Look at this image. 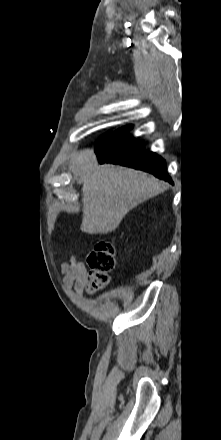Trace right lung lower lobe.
Masks as SVG:
<instances>
[{"instance_id":"right-lung-lower-lobe-1","label":"right lung lower lobe","mask_w":221,"mask_h":440,"mask_svg":"<svg viewBox=\"0 0 221 440\" xmlns=\"http://www.w3.org/2000/svg\"><path fill=\"white\" fill-rule=\"evenodd\" d=\"M131 128V125L120 128L95 145L99 163L119 164L143 170L173 183L167 173L165 160L156 153L146 151L142 141L127 133Z\"/></svg>"}]
</instances>
